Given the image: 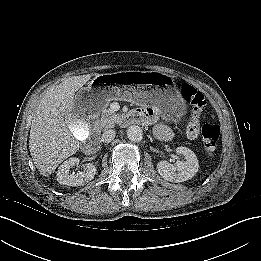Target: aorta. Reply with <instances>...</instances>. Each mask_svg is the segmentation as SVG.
<instances>
[{"instance_id":"aorta-1","label":"aorta","mask_w":261,"mask_h":261,"mask_svg":"<svg viewBox=\"0 0 261 261\" xmlns=\"http://www.w3.org/2000/svg\"><path fill=\"white\" fill-rule=\"evenodd\" d=\"M127 137L130 141L139 142L143 138V131L137 125H132L127 129Z\"/></svg>"}]
</instances>
